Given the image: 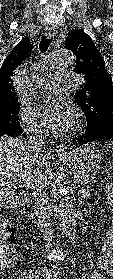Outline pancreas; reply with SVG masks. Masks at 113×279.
I'll return each instance as SVG.
<instances>
[{"instance_id": "obj_1", "label": "pancreas", "mask_w": 113, "mask_h": 279, "mask_svg": "<svg viewBox=\"0 0 113 279\" xmlns=\"http://www.w3.org/2000/svg\"><path fill=\"white\" fill-rule=\"evenodd\" d=\"M75 175H77V180L81 182L82 184H88V183H95L96 180L94 176L84 173V172H78Z\"/></svg>"}]
</instances>
